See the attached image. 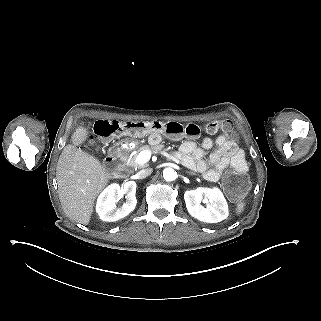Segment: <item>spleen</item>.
Wrapping results in <instances>:
<instances>
[{"label":"spleen","mask_w":321,"mask_h":321,"mask_svg":"<svg viewBox=\"0 0 321 321\" xmlns=\"http://www.w3.org/2000/svg\"><path fill=\"white\" fill-rule=\"evenodd\" d=\"M244 206H245V204L241 200L237 201L235 203V213H236V215H240L244 211Z\"/></svg>","instance_id":"3e777b00"}]
</instances>
